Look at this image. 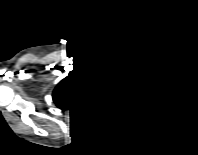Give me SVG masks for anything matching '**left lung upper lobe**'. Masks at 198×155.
<instances>
[{
  "label": "left lung upper lobe",
  "instance_id": "5c2ea615",
  "mask_svg": "<svg viewBox=\"0 0 198 155\" xmlns=\"http://www.w3.org/2000/svg\"><path fill=\"white\" fill-rule=\"evenodd\" d=\"M121 90L127 100L137 107H148L163 98L161 84L145 72L134 69L122 82Z\"/></svg>",
  "mask_w": 198,
  "mask_h": 155
}]
</instances>
